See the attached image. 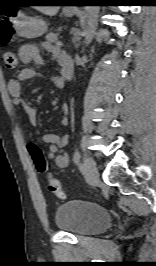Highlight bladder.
I'll return each mask as SVG.
<instances>
[{"instance_id":"31cf9c89","label":"bladder","mask_w":156,"mask_h":266,"mask_svg":"<svg viewBox=\"0 0 156 266\" xmlns=\"http://www.w3.org/2000/svg\"><path fill=\"white\" fill-rule=\"evenodd\" d=\"M112 218L102 206L72 200L59 205L55 211V224L61 231L76 235H92L107 229Z\"/></svg>"}]
</instances>
